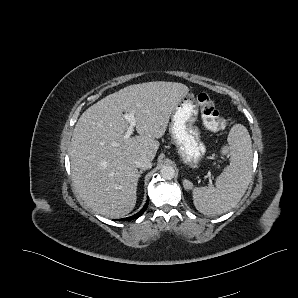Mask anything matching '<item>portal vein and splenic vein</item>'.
I'll list each match as a JSON object with an SVG mask.
<instances>
[{
	"label": "portal vein and splenic vein",
	"instance_id": "18ae733b",
	"mask_svg": "<svg viewBox=\"0 0 298 298\" xmlns=\"http://www.w3.org/2000/svg\"><path fill=\"white\" fill-rule=\"evenodd\" d=\"M135 110H132L131 113H125L124 114V118L125 120L130 124V128L123 134V140L127 141L131 134L134 132V126H135ZM114 146H119L120 143L115 142L113 143ZM217 162H219L220 160L216 159Z\"/></svg>",
	"mask_w": 298,
	"mask_h": 298
}]
</instances>
